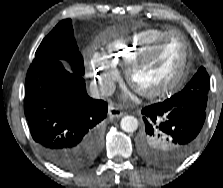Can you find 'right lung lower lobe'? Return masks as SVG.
I'll return each mask as SVG.
<instances>
[{
  "mask_svg": "<svg viewBox=\"0 0 223 188\" xmlns=\"http://www.w3.org/2000/svg\"><path fill=\"white\" fill-rule=\"evenodd\" d=\"M24 111L32 138L57 167L76 171L97 156L108 105L90 98L83 76L66 71L59 60L30 65Z\"/></svg>",
  "mask_w": 223,
  "mask_h": 188,
  "instance_id": "1",
  "label": "right lung lower lobe"
}]
</instances>
